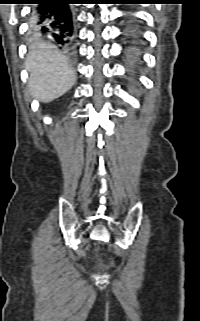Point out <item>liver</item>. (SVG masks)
<instances>
[{
	"label": "liver",
	"instance_id": "6515ba94",
	"mask_svg": "<svg viewBox=\"0 0 200 321\" xmlns=\"http://www.w3.org/2000/svg\"><path fill=\"white\" fill-rule=\"evenodd\" d=\"M25 67L30 76V94L41 102H50L66 93L76 81L68 59L47 43H33Z\"/></svg>",
	"mask_w": 200,
	"mask_h": 321
}]
</instances>
